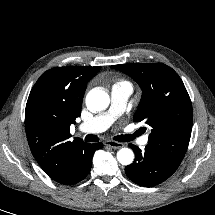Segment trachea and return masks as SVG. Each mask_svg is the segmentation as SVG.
Masks as SVG:
<instances>
[{"label":"trachea","mask_w":215,"mask_h":215,"mask_svg":"<svg viewBox=\"0 0 215 215\" xmlns=\"http://www.w3.org/2000/svg\"><path fill=\"white\" fill-rule=\"evenodd\" d=\"M139 135H140V131H137L133 135H130V134L119 135L114 137V139L119 142H129ZM98 140H99L98 137L93 134H89L85 137V141L87 142H97Z\"/></svg>","instance_id":"3493384b"}]
</instances>
